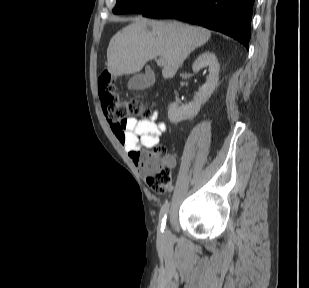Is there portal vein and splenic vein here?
Wrapping results in <instances>:
<instances>
[{
    "mask_svg": "<svg viewBox=\"0 0 309 288\" xmlns=\"http://www.w3.org/2000/svg\"><path fill=\"white\" fill-rule=\"evenodd\" d=\"M156 62H157V64H158L159 66H164V65H165V60H164L162 57L158 58V59L156 60Z\"/></svg>",
    "mask_w": 309,
    "mask_h": 288,
    "instance_id": "1",
    "label": "portal vein and splenic vein"
}]
</instances>
